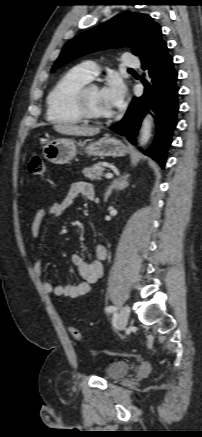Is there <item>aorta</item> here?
I'll list each match as a JSON object with an SVG mask.
<instances>
[{"instance_id": "obj_1", "label": "aorta", "mask_w": 202, "mask_h": 437, "mask_svg": "<svg viewBox=\"0 0 202 437\" xmlns=\"http://www.w3.org/2000/svg\"><path fill=\"white\" fill-rule=\"evenodd\" d=\"M152 118L150 115H146L141 126V135L139 139L140 146H144L148 143L151 137Z\"/></svg>"}]
</instances>
